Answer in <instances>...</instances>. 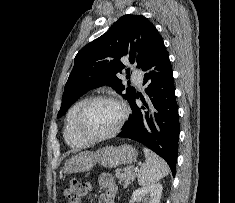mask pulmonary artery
I'll list each match as a JSON object with an SVG mask.
<instances>
[{
    "instance_id": "obj_1",
    "label": "pulmonary artery",
    "mask_w": 235,
    "mask_h": 203,
    "mask_svg": "<svg viewBox=\"0 0 235 203\" xmlns=\"http://www.w3.org/2000/svg\"><path fill=\"white\" fill-rule=\"evenodd\" d=\"M132 78L136 85H138L139 87L142 86L143 76L140 72H134Z\"/></svg>"
}]
</instances>
